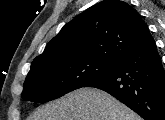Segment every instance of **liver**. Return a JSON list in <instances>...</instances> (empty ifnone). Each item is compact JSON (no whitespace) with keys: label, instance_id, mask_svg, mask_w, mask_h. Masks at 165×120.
<instances>
[{"label":"liver","instance_id":"obj_1","mask_svg":"<svg viewBox=\"0 0 165 120\" xmlns=\"http://www.w3.org/2000/svg\"><path fill=\"white\" fill-rule=\"evenodd\" d=\"M29 120H141L126 105L95 88H81L39 107Z\"/></svg>","mask_w":165,"mask_h":120}]
</instances>
